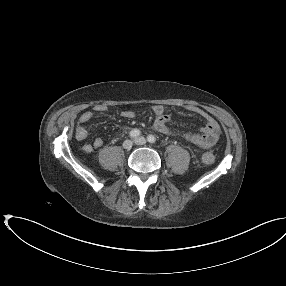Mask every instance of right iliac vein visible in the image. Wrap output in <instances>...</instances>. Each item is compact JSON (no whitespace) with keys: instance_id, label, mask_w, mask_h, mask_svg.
<instances>
[{"instance_id":"1","label":"right iliac vein","mask_w":286,"mask_h":286,"mask_svg":"<svg viewBox=\"0 0 286 286\" xmlns=\"http://www.w3.org/2000/svg\"><path fill=\"white\" fill-rule=\"evenodd\" d=\"M133 146V141L130 140V139H127L123 142V148L126 149V150H129L131 149Z\"/></svg>"}]
</instances>
